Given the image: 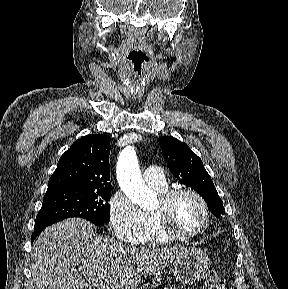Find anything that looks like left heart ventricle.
Here are the masks:
<instances>
[{
    "label": "left heart ventricle",
    "mask_w": 288,
    "mask_h": 289,
    "mask_svg": "<svg viewBox=\"0 0 288 289\" xmlns=\"http://www.w3.org/2000/svg\"><path fill=\"white\" fill-rule=\"evenodd\" d=\"M160 201L154 211L159 210ZM173 227L183 233L197 230L203 223V211L199 202L189 195L179 197L171 208Z\"/></svg>",
    "instance_id": "b2bd125f"
}]
</instances>
